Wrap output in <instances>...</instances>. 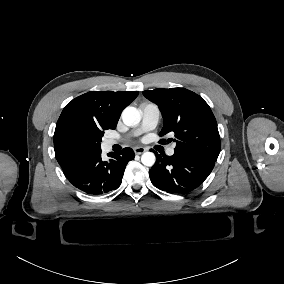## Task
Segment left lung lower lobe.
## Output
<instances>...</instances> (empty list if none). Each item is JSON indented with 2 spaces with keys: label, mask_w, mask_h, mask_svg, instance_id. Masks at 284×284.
I'll use <instances>...</instances> for the list:
<instances>
[{
  "label": "left lung lower lobe",
  "mask_w": 284,
  "mask_h": 284,
  "mask_svg": "<svg viewBox=\"0 0 284 284\" xmlns=\"http://www.w3.org/2000/svg\"><path fill=\"white\" fill-rule=\"evenodd\" d=\"M149 170L152 184L168 193L185 194L200 186L214 168L215 161L190 152L175 151L170 157L158 155Z\"/></svg>",
  "instance_id": "obj_1"
}]
</instances>
